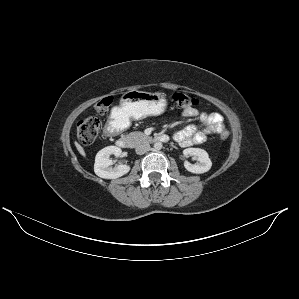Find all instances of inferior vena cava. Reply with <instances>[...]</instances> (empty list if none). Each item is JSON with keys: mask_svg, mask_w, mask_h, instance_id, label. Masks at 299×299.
<instances>
[{"mask_svg": "<svg viewBox=\"0 0 299 299\" xmlns=\"http://www.w3.org/2000/svg\"><path fill=\"white\" fill-rule=\"evenodd\" d=\"M150 150V145L149 144H146V143H143V144H138L136 146V153L138 155H142V154H145L147 151Z\"/></svg>", "mask_w": 299, "mask_h": 299, "instance_id": "602c4592", "label": "inferior vena cava"}]
</instances>
